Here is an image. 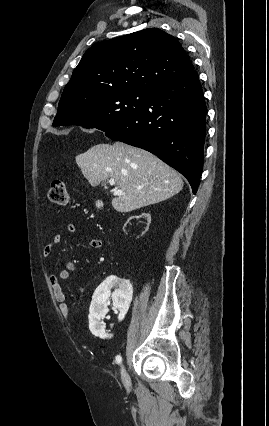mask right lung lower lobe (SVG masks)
Instances as JSON below:
<instances>
[{
	"label": "right lung lower lobe",
	"instance_id": "98d812e1",
	"mask_svg": "<svg viewBox=\"0 0 269 426\" xmlns=\"http://www.w3.org/2000/svg\"><path fill=\"white\" fill-rule=\"evenodd\" d=\"M206 114L198 75L192 70L152 89L139 113L105 135L155 154L183 174L195 194L203 168Z\"/></svg>",
	"mask_w": 269,
	"mask_h": 426
}]
</instances>
